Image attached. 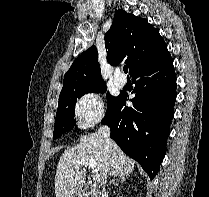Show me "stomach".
<instances>
[{
  "mask_svg": "<svg viewBox=\"0 0 209 197\" xmlns=\"http://www.w3.org/2000/svg\"><path fill=\"white\" fill-rule=\"evenodd\" d=\"M71 197H80V195L77 192H75Z\"/></svg>",
  "mask_w": 209,
  "mask_h": 197,
  "instance_id": "stomach-1",
  "label": "stomach"
}]
</instances>
